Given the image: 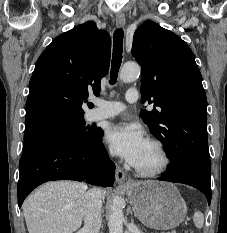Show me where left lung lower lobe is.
Masks as SVG:
<instances>
[{
  "label": "left lung lower lobe",
  "mask_w": 227,
  "mask_h": 233,
  "mask_svg": "<svg viewBox=\"0 0 227 233\" xmlns=\"http://www.w3.org/2000/svg\"><path fill=\"white\" fill-rule=\"evenodd\" d=\"M211 171L196 165L187 164L168 170L159 180L183 183L200 190L207 198L208 204L211 202Z\"/></svg>",
  "instance_id": "1"
}]
</instances>
